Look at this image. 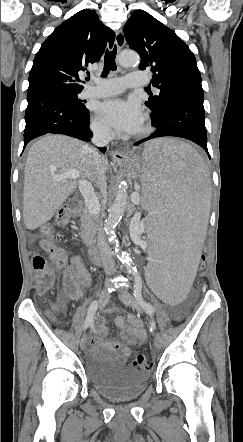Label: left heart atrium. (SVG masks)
Masks as SVG:
<instances>
[{"label":"left heart atrium","instance_id":"39dd6f15","mask_svg":"<svg viewBox=\"0 0 243 442\" xmlns=\"http://www.w3.org/2000/svg\"><path fill=\"white\" fill-rule=\"evenodd\" d=\"M98 110L109 126L122 133H135L143 123L141 106L133 99L111 98L102 102Z\"/></svg>","mask_w":243,"mask_h":442}]
</instances>
